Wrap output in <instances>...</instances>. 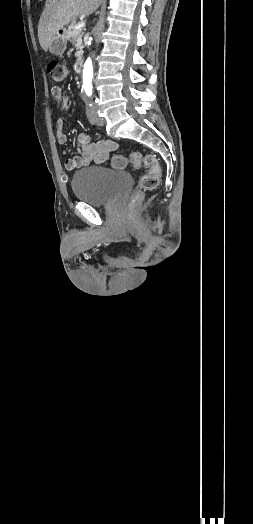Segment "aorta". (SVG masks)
I'll use <instances>...</instances> for the list:
<instances>
[{"instance_id":"aorta-1","label":"aorta","mask_w":253,"mask_h":524,"mask_svg":"<svg viewBox=\"0 0 253 524\" xmlns=\"http://www.w3.org/2000/svg\"><path fill=\"white\" fill-rule=\"evenodd\" d=\"M93 64L88 58L83 68V88L88 96L92 94Z\"/></svg>"}]
</instances>
